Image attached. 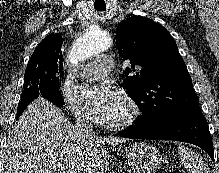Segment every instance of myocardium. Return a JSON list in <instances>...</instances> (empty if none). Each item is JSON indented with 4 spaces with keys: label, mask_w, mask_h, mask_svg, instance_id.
Segmentation results:
<instances>
[{
    "label": "myocardium",
    "mask_w": 219,
    "mask_h": 173,
    "mask_svg": "<svg viewBox=\"0 0 219 173\" xmlns=\"http://www.w3.org/2000/svg\"><path fill=\"white\" fill-rule=\"evenodd\" d=\"M120 97L129 107L128 115L119 121H106L105 125L112 130H125L133 126L141 115V108L138 102L127 92L122 91Z\"/></svg>",
    "instance_id": "1"
}]
</instances>
